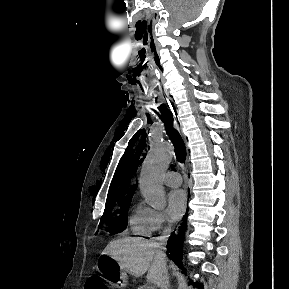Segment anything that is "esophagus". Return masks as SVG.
Masks as SVG:
<instances>
[{
    "label": "esophagus",
    "instance_id": "1",
    "mask_svg": "<svg viewBox=\"0 0 289 289\" xmlns=\"http://www.w3.org/2000/svg\"><path fill=\"white\" fill-rule=\"evenodd\" d=\"M169 107L171 108V110L173 111V115L176 119V126L178 128V130L181 132V129H182V125H181V122L178 118V114H177V109L172 107V104L171 103H168ZM177 119L179 120V122L177 123ZM183 138H184V141H185V144H186V147H187V152H188V146H187V140H186V137L183 135ZM186 179H187V182H188V167H186Z\"/></svg>",
    "mask_w": 289,
    "mask_h": 289
}]
</instances>
